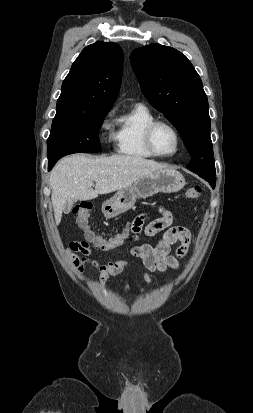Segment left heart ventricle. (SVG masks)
<instances>
[{
    "label": "left heart ventricle",
    "mask_w": 253,
    "mask_h": 413,
    "mask_svg": "<svg viewBox=\"0 0 253 413\" xmlns=\"http://www.w3.org/2000/svg\"><path fill=\"white\" fill-rule=\"evenodd\" d=\"M154 146L159 153L171 154L176 149V137L166 126H158L153 136Z\"/></svg>",
    "instance_id": "b2bd125f"
}]
</instances>
